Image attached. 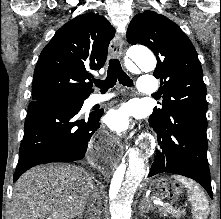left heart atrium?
<instances>
[{
  "mask_svg": "<svg viewBox=\"0 0 221 219\" xmlns=\"http://www.w3.org/2000/svg\"><path fill=\"white\" fill-rule=\"evenodd\" d=\"M132 111L129 106L121 105L110 109L105 117L106 124L114 131L121 133L131 128Z\"/></svg>",
  "mask_w": 221,
  "mask_h": 219,
  "instance_id": "obj_1",
  "label": "left heart atrium"
}]
</instances>
